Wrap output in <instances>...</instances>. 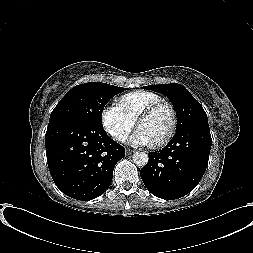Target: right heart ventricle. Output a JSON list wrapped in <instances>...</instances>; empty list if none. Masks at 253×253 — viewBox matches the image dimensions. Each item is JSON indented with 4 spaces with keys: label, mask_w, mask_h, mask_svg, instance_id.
<instances>
[{
    "label": "right heart ventricle",
    "mask_w": 253,
    "mask_h": 253,
    "mask_svg": "<svg viewBox=\"0 0 253 253\" xmlns=\"http://www.w3.org/2000/svg\"><path fill=\"white\" fill-rule=\"evenodd\" d=\"M161 100L162 97L157 93L137 90L122 95L119 98L118 105L132 120L136 121L143 109Z\"/></svg>",
    "instance_id": "right-heart-ventricle-1"
}]
</instances>
